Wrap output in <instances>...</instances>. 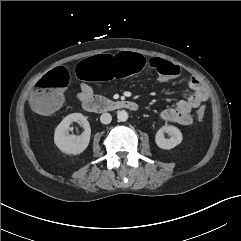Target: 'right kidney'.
Wrapping results in <instances>:
<instances>
[{
	"mask_svg": "<svg viewBox=\"0 0 241 241\" xmlns=\"http://www.w3.org/2000/svg\"><path fill=\"white\" fill-rule=\"evenodd\" d=\"M78 122L84 127L80 136L69 135L68 129L71 123ZM91 129L89 122L81 113H73L66 116L55 129L54 143L65 154H81L89 145Z\"/></svg>",
	"mask_w": 241,
	"mask_h": 241,
	"instance_id": "ca27d5eb",
	"label": "right kidney"
}]
</instances>
